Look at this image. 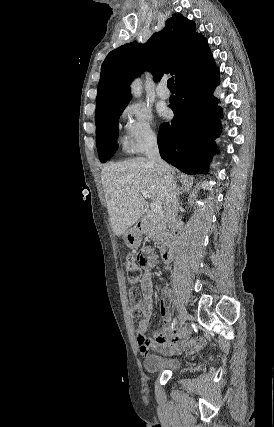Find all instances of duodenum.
Wrapping results in <instances>:
<instances>
[{"mask_svg":"<svg viewBox=\"0 0 274 427\" xmlns=\"http://www.w3.org/2000/svg\"><path fill=\"white\" fill-rule=\"evenodd\" d=\"M141 224H138L140 228ZM160 254L164 262H169L171 257V243L169 241H163L160 244Z\"/></svg>","mask_w":274,"mask_h":427,"instance_id":"duodenum-1","label":"duodenum"}]
</instances>
